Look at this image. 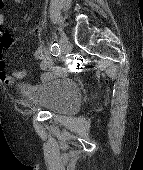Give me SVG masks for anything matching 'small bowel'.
I'll list each match as a JSON object with an SVG mask.
<instances>
[{"label":"small bowel","mask_w":143,"mask_h":170,"mask_svg":"<svg viewBox=\"0 0 143 170\" xmlns=\"http://www.w3.org/2000/svg\"><path fill=\"white\" fill-rule=\"evenodd\" d=\"M19 1V0H15ZM0 8L4 5L2 0H0ZM5 15L0 12V80L6 85H12L14 83V79H22L25 77L26 72L24 70L13 71L12 73H8L6 71V63L4 61L3 55L4 50L7 47H10L12 44L11 36L5 31ZM35 31L40 34L41 29L37 27ZM33 58L35 61L40 63V67L42 70L46 72L45 77L50 75V71L53 70V59L51 58L46 45L43 40H39L37 46L35 48ZM58 74H64L66 69H55Z\"/></svg>","instance_id":"1"}]
</instances>
